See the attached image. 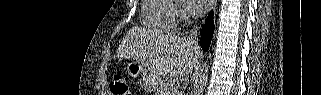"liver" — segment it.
Segmentation results:
<instances>
[{"label": "liver", "mask_w": 321, "mask_h": 95, "mask_svg": "<svg viewBox=\"0 0 321 95\" xmlns=\"http://www.w3.org/2000/svg\"><path fill=\"white\" fill-rule=\"evenodd\" d=\"M117 56L131 58L157 76H186L198 64L201 51L198 44H193L188 38L157 35L150 30L133 27L119 45Z\"/></svg>", "instance_id": "obj_1"}]
</instances>
